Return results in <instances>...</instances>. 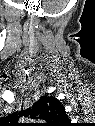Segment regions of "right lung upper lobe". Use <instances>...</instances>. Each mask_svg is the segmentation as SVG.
Returning a JSON list of instances; mask_svg holds the SVG:
<instances>
[{
  "mask_svg": "<svg viewBox=\"0 0 95 126\" xmlns=\"http://www.w3.org/2000/svg\"><path fill=\"white\" fill-rule=\"evenodd\" d=\"M23 115H30L32 119H44L47 126H67L69 124V118L62 103L57 98L48 95L41 96L33 104L32 109L14 112L9 118L16 122L18 117Z\"/></svg>",
  "mask_w": 95,
  "mask_h": 126,
  "instance_id": "1",
  "label": "right lung upper lobe"
}]
</instances>
